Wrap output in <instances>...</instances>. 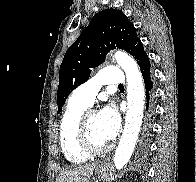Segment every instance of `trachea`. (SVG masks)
Returning a JSON list of instances; mask_svg holds the SVG:
<instances>
[{
  "label": "trachea",
  "mask_w": 196,
  "mask_h": 182,
  "mask_svg": "<svg viewBox=\"0 0 196 182\" xmlns=\"http://www.w3.org/2000/svg\"><path fill=\"white\" fill-rule=\"evenodd\" d=\"M119 87H123V85L121 84V85H119Z\"/></svg>",
  "instance_id": "trachea-1"
}]
</instances>
